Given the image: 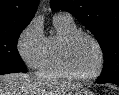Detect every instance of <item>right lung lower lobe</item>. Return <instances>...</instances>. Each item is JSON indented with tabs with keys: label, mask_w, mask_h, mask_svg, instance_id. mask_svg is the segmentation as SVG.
<instances>
[{
	"label": "right lung lower lobe",
	"mask_w": 119,
	"mask_h": 95,
	"mask_svg": "<svg viewBox=\"0 0 119 95\" xmlns=\"http://www.w3.org/2000/svg\"><path fill=\"white\" fill-rule=\"evenodd\" d=\"M13 72H19L18 70L9 69V68H0V75L1 74H8Z\"/></svg>",
	"instance_id": "1"
}]
</instances>
